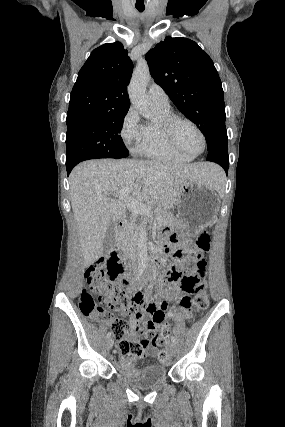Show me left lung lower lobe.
Returning <instances> with one entry per match:
<instances>
[{"label": "left lung lower lobe", "mask_w": 285, "mask_h": 427, "mask_svg": "<svg viewBox=\"0 0 285 427\" xmlns=\"http://www.w3.org/2000/svg\"><path fill=\"white\" fill-rule=\"evenodd\" d=\"M228 139L217 141L209 150L206 160L212 161L222 166L225 172H228L229 158H228Z\"/></svg>", "instance_id": "left-lung-lower-lobe-1"}]
</instances>
